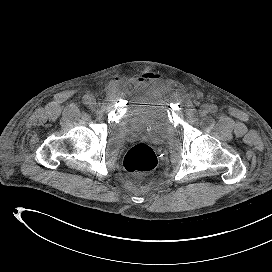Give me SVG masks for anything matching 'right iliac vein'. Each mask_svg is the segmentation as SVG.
<instances>
[{"label": "right iliac vein", "mask_w": 272, "mask_h": 272, "mask_svg": "<svg viewBox=\"0 0 272 272\" xmlns=\"http://www.w3.org/2000/svg\"><path fill=\"white\" fill-rule=\"evenodd\" d=\"M89 106L91 108H95L96 107V100L93 97H90Z\"/></svg>", "instance_id": "right-iliac-vein-1"}]
</instances>
